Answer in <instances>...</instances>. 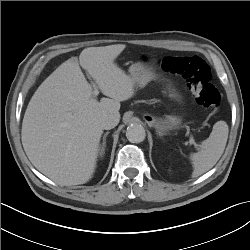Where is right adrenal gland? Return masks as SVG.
<instances>
[{"mask_svg": "<svg viewBox=\"0 0 250 250\" xmlns=\"http://www.w3.org/2000/svg\"><path fill=\"white\" fill-rule=\"evenodd\" d=\"M109 134V132H106L103 136V143L101 147L99 148V155L102 157L105 154V147H106V137Z\"/></svg>", "mask_w": 250, "mask_h": 250, "instance_id": "1", "label": "right adrenal gland"}]
</instances>
